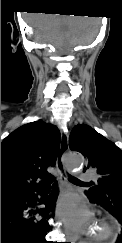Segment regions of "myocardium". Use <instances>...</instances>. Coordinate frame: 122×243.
Wrapping results in <instances>:
<instances>
[{
  "mask_svg": "<svg viewBox=\"0 0 122 243\" xmlns=\"http://www.w3.org/2000/svg\"><path fill=\"white\" fill-rule=\"evenodd\" d=\"M112 231V227L106 220H98L94 226L92 238L95 240L107 239L111 236Z\"/></svg>",
  "mask_w": 122,
  "mask_h": 243,
  "instance_id": "f54148a6",
  "label": "myocardium"
}]
</instances>
